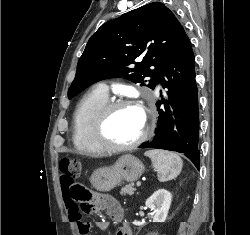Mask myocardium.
<instances>
[{
  "mask_svg": "<svg viewBox=\"0 0 250 235\" xmlns=\"http://www.w3.org/2000/svg\"><path fill=\"white\" fill-rule=\"evenodd\" d=\"M137 108L135 102L129 99H116L108 101L96 114L92 124V138L94 142L102 149L109 152H124L130 151L141 145L148 134V114L143 112L144 125L139 136L132 142L127 144H115L106 136V126L112 113L120 108Z\"/></svg>",
  "mask_w": 250,
  "mask_h": 235,
  "instance_id": "myocardium-1",
  "label": "myocardium"
}]
</instances>
